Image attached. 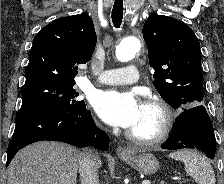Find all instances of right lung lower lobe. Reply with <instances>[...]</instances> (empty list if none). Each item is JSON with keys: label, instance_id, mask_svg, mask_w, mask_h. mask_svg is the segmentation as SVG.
<instances>
[{"label": "right lung lower lobe", "instance_id": "98d812e1", "mask_svg": "<svg viewBox=\"0 0 224 184\" xmlns=\"http://www.w3.org/2000/svg\"><path fill=\"white\" fill-rule=\"evenodd\" d=\"M94 134L99 135L95 137ZM43 140L66 142L77 147L94 146L103 151L109 148V137L96 127L86 106L73 113L38 112L16 123L8 146L6 167L21 148Z\"/></svg>", "mask_w": 224, "mask_h": 184}]
</instances>
